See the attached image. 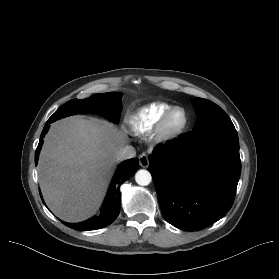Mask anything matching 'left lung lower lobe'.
Here are the masks:
<instances>
[{"mask_svg": "<svg viewBox=\"0 0 279 279\" xmlns=\"http://www.w3.org/2000/svg\"><path fill=\"white\" fill-rule=\"evenodd\" d=\"M204 158L210 161L197 173L195 162ZM149 161L162 214L173 226L200 230L230 210L241 171L234 125L182 134L157 145Z\"/></svg>", "mask_w": 279, "mask_h": 279, "instance_id": "obj_1", "label": "left lung lower lobe"}]
</instances>
